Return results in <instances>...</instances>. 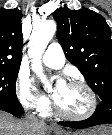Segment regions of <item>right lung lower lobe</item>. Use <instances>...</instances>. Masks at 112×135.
<instances>
[{
	"instance_id": "1",
	"label": "right lung lower lobe",
	"mask_w": 112,
	"mask_h": 135,
	"mask_svg": "<svg viewBox=\"0 0 112 135\" xmlns=\"http://www.w3.org/2000/svg\"><path fill=\"white\" fill-rule=\"evenodd\" d=\"M0 110L13 115H22L24 113L23 108L19 103L0 102Z\"/></svg>"
}]
</instances>
